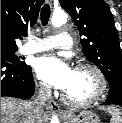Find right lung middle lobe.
I'll list each match as a JSON object with an SVG mask.
<instances>
[{"mask_svg":"<svg viewBox=\"0 0 122 123\" xmlns=\"http://www.w3.org/2000/svg\"><path fill=\"white\" fill-rule=\"evenodd\" d=\"M17 49H1V59H5L11 63L18 65H26L15 54Z\"/></svg>","mask_w":122,"mask_h":123,"instance_id":"right-lung-middle-lobe-1","label":"right lung middle lobe"}]
</instances>
